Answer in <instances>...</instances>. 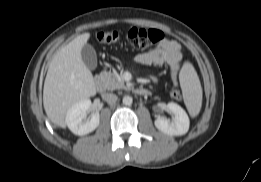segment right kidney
<instances>
[{
  "label": "right kidney",
  "instance_id": "right-kidney-1",
  "mask_svg": "<svg viewBox=\"0 0 261 182\" xmlns=\"http://www.w3.org/2000/svg\"><path fill=\"white\" fill-rule=\"evenodd\" d=\"M90 107L91 100L86 98L72 105L67 111L65 122L75 135L89 134L99 126V112L93 113L90 120H84Z\"/></svg>",
  "mask_w": 261,
  "mask_h": 182
}]
</instances>
